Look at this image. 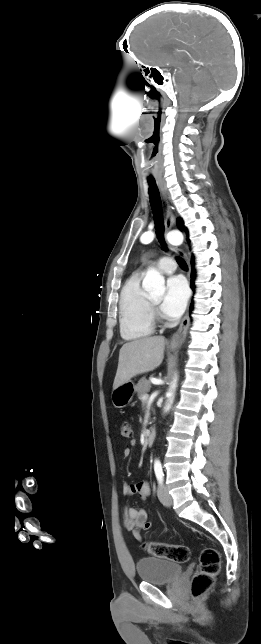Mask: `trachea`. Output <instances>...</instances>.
<instances>
[{
	"instance_id": "trachea-1",
	"label": "trachea",
	"mask_w": 261,
	"mask_h": 644,
	"mask_svg": "<svg viewBox=\"0 0 261 644\" xmlns=\"http://www.w3.org/2000/svg\"><path fill=\"white\" fill-rule=\"evenodd\" d=\"M148 183H149L150 203L152 206L154 220H155L156 234L161 245L164 248H166V243L164 240V223H163L159 191L155 181H148ZM177 262L181 268L185 270L188 269L186 262L182 258L177 257Z\"/></svg>"
}]
</instances>
